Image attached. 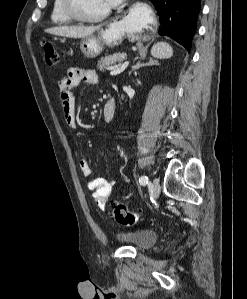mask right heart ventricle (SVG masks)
Instances as JSON below:
<instances>
[{
	"label": "right heart ventricle",
	"instance_id": "obj_1",
	"mask_svg": "<svg viewBox=\"0 0 247 299\" xmlns=\"http://www.w3.org/2000/svg\"><path fill=\"white\" fill-rule=\"evenodd\" d=\"M51 21L57 25H67L72 22V19L65 13L62 0H54L52 4Z\"/></svg>",
	"mask_w": 247,
	"mask_h": 299
}]
</instances>
